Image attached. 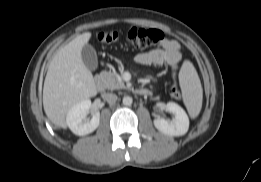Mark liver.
Wrapping results in <instances>:
<instances>
[{"label": "liver", "instance_id": "1", "mask_svg": "<svg viewBox=\"0 0 261 182\" xmlns=\"http://www.w3.org/2000/svg\"><path fill=\"white\" fill-rule=\"evenodd\" d=\"M90 38V32L78 35L58 50L49 65L43 106L48 119L60 128H66L65 117L73 105L97 94L93 75L81 57V50Z\"/></svg>", "mask_w": 261, "mask_h": 182}]
</instances>
